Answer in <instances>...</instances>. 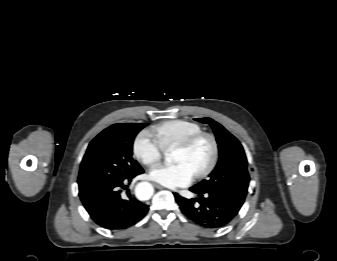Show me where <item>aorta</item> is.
I'll use <instances>...</instances> for the list:
<instances>
[{
    "instance_id": "obj_1",
    "label": "aorta",
    "mask_w": 337,
    "mask_h": 261,
    "mask_svg": "<svg viewBox=\"0 0 337 261\" xmlns=\"http://www.w3.org/2000/svg\"><path fill=\"white\" fill-rule=\"evenodd\" d=\"M167 161H170V157H166ZM136 197L140 200H148L153 194V187L148 182H140L135 188Z\"/></svg>"
}]
</instances>
